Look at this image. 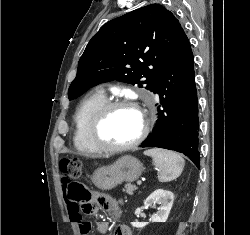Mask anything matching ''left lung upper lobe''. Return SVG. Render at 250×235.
<instances>
[{"label":"left lung upper lobe","mask_w":250,"mask_h":235,"mask_svg":"<svg viewBox=\"0 0 250 235\" xmlns=\"http://www.w3.org/2000/svg\"><path fill=\"white\" fill-rule=\"evenodd\" d=\"M172 12L150 4L115 18L92 37L78 63L68 97L119 80L152 91L164 62L182 31Z\"/></svg>","instance_id":"5c2ea615"}]
</instances>
